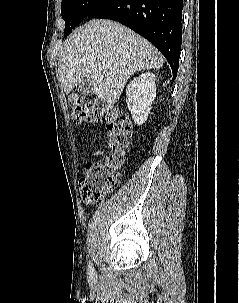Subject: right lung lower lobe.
I'll use <instances>...</instances> for the list:
<instances>
[{
    "label": "right lung lower lobe",
    "instance_id": "1",
    "mask_svg": "<svg viewBox=\"0 0 239 303\" xmlns=\"http://www.w3.org/2000/svg\"><path fill=\"white\" fill-rule=\"evenodd\" d=\"M183 0H106L87 17L120 22L165 56L176 78L182 42Z\"/></svg>",
    "mask_w": 239,
    "mask_h": 303
}]
</instances>
